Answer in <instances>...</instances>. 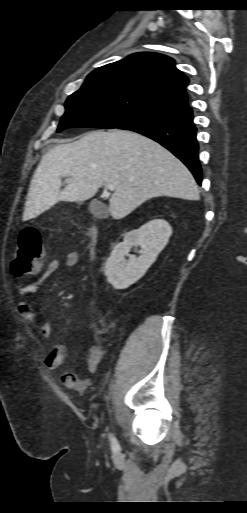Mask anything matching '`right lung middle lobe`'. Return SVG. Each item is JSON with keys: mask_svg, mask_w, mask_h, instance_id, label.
Listing matches in <instances>:
<instances>
[{"mask_svg": "<svg viewBox=\"0 0 247 513\" xmlns=\"http://www.w3.org/2000/svg\"><path fill=\"white\" fill-rule=\"evenodd\" d=\"M57 132L66 128L113 129L168 108L142 94L118 88H95L73 93L65 103Z\"/></svg>", "mask_w": 247, "mask_h": 513, "instance_id": "right-lung-middle-lobe-1", "label": "right lung middle lobe"}]
</instances>
